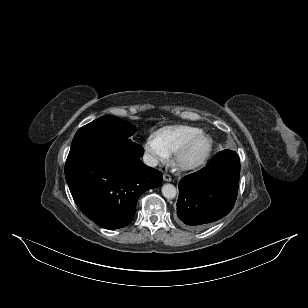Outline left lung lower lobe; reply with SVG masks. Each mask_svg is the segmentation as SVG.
Masks as SVG:
<instances>
[{"mask_svg": "<svg viewBox=\"0 0 308 308\" xmlns=\"http://www.w3.org/2000/svg\"><path fill=\"white\" fill-rule=\"evenodd\" d=\"M240 161L236 152L223 150L208 165L179 182L177 220L189 229H202L226 216L237 198Z\"/></svg>", "mask_w": 308, "mask_h": 308, "instance_id": "obj_1", "label": "left lung lower lobe"}]
</instances>
